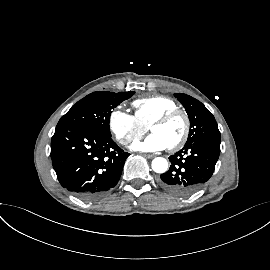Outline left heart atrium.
<instances>
[{"mask_svg":"<svg viewBox=\"0 0 270 270\" xmlns=\"http://www.w3.org/2000/svg\"><path fill=\"white\" fill-rule=\"evenodd\" d=\"M168 146L165 141L157 134H150L142 140L133 143L132 149L142 152H157L166 149Z\"/></svg>","mask_w":270,"mask_h":270,"instance_id":"obj_1","label":"left heart atrium"}]
</instances>
